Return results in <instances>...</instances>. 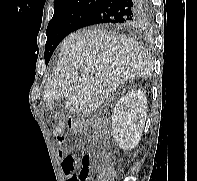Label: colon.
Returning <instances> with one entry per match:
<instances>
[{"instance_id":"colon-1","label":"colon","mask_w":197,"mask_h":181,"mask_svg":"<svg viewBox=\"0 0 197 181\" xmlns=\"http://www.w3.org/2000/svg\"><path fill=\"white\" fill-rule=\"evenodd\" d=\"M75 130L86 135L87 137H95L97 135V127L94 122H85L78 119L75 122ZM57 139L62 140V129H56ZM114 177V169L108 158L105 156H95L89 153L82 155V168L80 170L78 181H112Z\"/></svg>"}]
</instances>
